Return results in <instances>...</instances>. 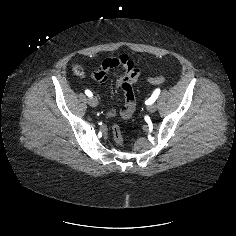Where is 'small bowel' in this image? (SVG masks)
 Here are the masks:
<instances>
[{"label":"small bowel","instance_id":"obj_1","mask_svg":"<svg viewBox=\"0 0 236 236\" xmlns=\"http://www.w3.org/2000/svg\"><path fill=\"white\" fill-rule=\"evenodd\" d=\"M116 68L121 69L123 72V74L117 78L116 84L123 91L125 97L124 107L119 114L123 119H128L132 116L136 106L132 86L140 77L141 70L139 63L126 54H122L118 57H108L104 59L101 65L92 73V78L99 84H103L108 79V72ZM117 114L116 109L108 111L109 117H115Z\"/></svg>","mask_w":236,"mask_h":236}]
</instances>
